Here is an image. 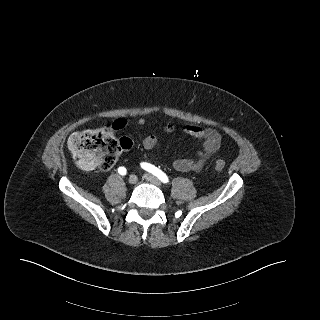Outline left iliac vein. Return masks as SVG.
Wrapping results in <instances>:
<instances>
[{"label": "left iliac vein", "mask_w": 320, "mask_h": 320, "mask_svg": "<svg viewBox=\"0 0 320 320\" xmlns=\"http://www.w3.org/2000/svg\"><path fill=\"white\" fill-rule=\"evenodd\" d=\"M144 178L146 179V181L150 182L151 184L161 187L160 180L157 177L153 176L152 174L146 173L144 174Z\"/></svg>", "instance_id": "left-iliac-vein-1"}]
</instances>
